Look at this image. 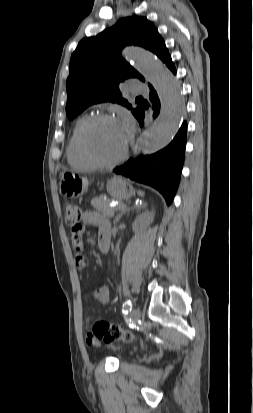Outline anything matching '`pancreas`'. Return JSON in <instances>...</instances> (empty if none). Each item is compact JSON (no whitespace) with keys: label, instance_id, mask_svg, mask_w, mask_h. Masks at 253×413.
I'll list each match as a JSON object with an SVG mask.
<instances>
[{"label":"pancreas","instance_id":"pancreas-1","mask_svg":"<svg viewBox=\"0 0 253 413\" xmlns=\"http://www.w3.org/2000/svg\"><path fill=\"white\" fill-rule=\"evenodd\" d=\"M111 200L109 198L97 197L91 200V205L104 214L108 218H112L117 210V207L110 206Z\"/></svg>","mask_w":253,"mask_h":413}]
</instances>
